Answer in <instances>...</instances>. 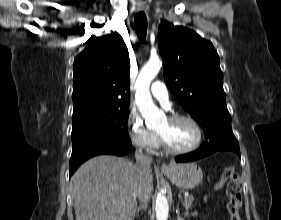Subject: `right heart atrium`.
<instances>
[{
    "label": "right heart atrium",
    "instance_id": "1",
    "mask_svg": "<svg viewBox=\"0 0 281 220\" xmlns=\"http://www.w3.org/2000/svg\"><path fill=\"white\" fill-rule=\"evenodd\" d=\"M128 136L132 145L141 151H151L157 144V137L149 130L141 117L132 112L127 120Z\"/></svg>",
    "mask_w": 281,
    "mask_h": 220
}]
</instances>
